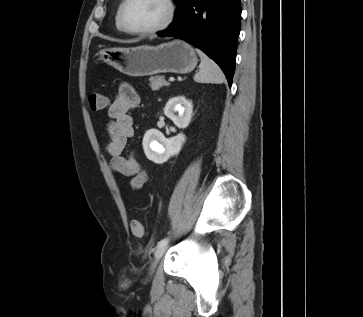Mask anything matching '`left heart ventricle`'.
Instances as JSON below:
<instances>
[{
	"label": "left heart ventricle",
	"instance_id": "1",
	"mask_svg": "<svg viewBox=\"0 0 363 317\" xmlns=\"http://www.w3.org/2000/svg\"><path fill=\"white\" fill-rule=\"evenodd\" d=\"M166 12L163 0H130L125 9V22L131 29H147L160 24Z\"/></svg>",
	"mask_w": 363,
	"mask_h": 317
}]
</instances>
